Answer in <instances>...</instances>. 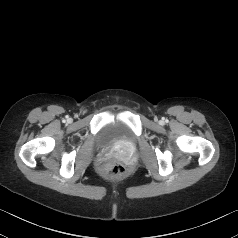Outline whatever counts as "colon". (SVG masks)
Here are the masks:
<instances>
[{"label":"colon","instance_id":"1","mask_svg":"<svg viewBox=\"0 0 238 238\" xmlns=\"http://www.w3.org/2000/svg\"><path fill=\"white\" fill-rule=\"evenodd\" d=\"M126 174V168L120 163H112L106 169L105 175L108 178L120 179Z\"/></svg>","mask_w":238,"mask_h":238}]
</instances>
